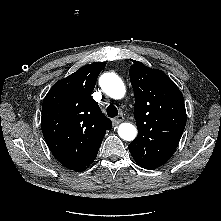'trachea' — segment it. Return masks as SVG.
<instances>
[{
	"mask_svg": "<svg viewBox=\"0 0 221 221\" xmlns=\"http://www.w3.org/2000/svg\"><path fill=\"white\" fill-rule=\"evenodd\" d=\"M107 115L110 118H114L118 115V109L114 105H109L107 107Z\"/></svg>",
	"mask_w": 221,
	"mask_h": 221,
	"instance_id": "3493384b",
	"label": "trachea"
}]
</instances>
